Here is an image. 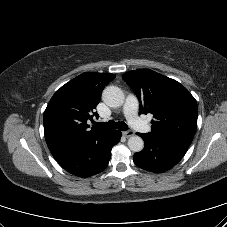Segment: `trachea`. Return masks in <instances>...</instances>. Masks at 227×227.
Segmentation results:
<instances>
[{
	"label": "trachea",
	"mask_w": 227,
	"mask_h": 227,
	"mask_svg": "<svg viewBox=\"0 0 227 227\" xmlns=\"http://www.w3.org/2000/svg\"><path fill=\"white\" fill-rule=\"evenodd\" d=\"M95 126L104 128V129H119L121 131H126L128 130V126L124 122H115L113 120H110L108 122H95Z\"/></svg>",
	"instance_id": "trachea-1"
}]
</instances>
